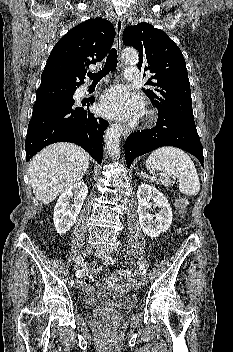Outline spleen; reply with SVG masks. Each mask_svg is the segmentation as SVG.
I'll use <instances>...</instances> for the list:
<instances>
[{
	"instance_id": "obj_1",
	"label": "spleen",
	"mask_w": 233,
	"mask_h": 352,
	"mask_svg": "<svg viewBox=\"0 0 233 352\" xmlns=\"http://www.w3.org/2000/svg\"><path fill=\"white\" fill-rule=\"evenodd\" d=\"M146 167L151 172L165 171L178 179L179 190L188 196L200 191V181L197 170L190 156L176 147H161L151 153L146 160ZM174 181L170 183L174 184Z\"/></svg>"
}]
</instances>
